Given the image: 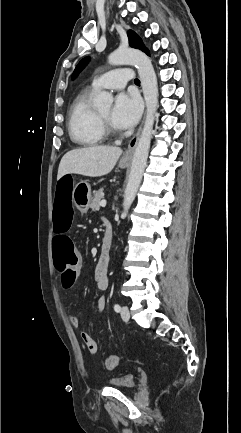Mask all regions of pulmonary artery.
I'll list each match as a JSON object with an SVG mask.
<instances>
[{"label": "pulmonary artery", "instance_id": "pulmonary-artery-1", "mask_svg": "<svg viewBox=\"0 0 241 433\" xmlns=\"http://www.w3.org/2000/svg\"><path fill=\"white\" fill-rule=\"evenodd\" d=\"M133 79L132 71L129 68L121 67L94 78L90 84V89L97 90L105 88L120 90L123 89L128 82H132Z\"/></svg>", "mask_w": 241, "mask_h": 433}]
</instances>
